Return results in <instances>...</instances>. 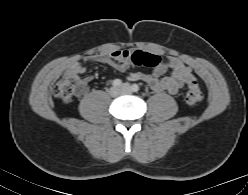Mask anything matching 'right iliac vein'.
Returning <instances> with one entry per match:
<instances>
[{
	"instance_id": "obj_1",
	"label": "right iliac vein",
	"mask_w": 248,
	"mask_h": 195,
	"mask_svg": "<svg viewBox=\"0 0 248 195\" xmlns=\"http://www.w3.org/2000/svg\"><path fill=\"white\" fill-rule=\"evenodd\" d=\"M120 93H121V89L118 88V87H111L110 90H109V94H110L112 97H116V96H118Z\"/></svg>"
}]
</instances>
